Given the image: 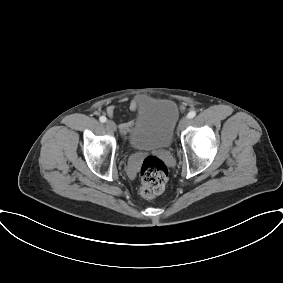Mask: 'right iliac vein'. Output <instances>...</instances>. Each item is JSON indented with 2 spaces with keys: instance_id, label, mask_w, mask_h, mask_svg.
<instances>
[{
  "instance_id": "right-iliac-vein-1",
  "label": "right iliac vein",
  "mask_w": 283,
  "mask_h": 283,
  "mask_svg": "<svg viewBox=\"0 0 283 283\" xmlns=\"http://www.w3.org/2000/svg\"><path fill=\"white\" fill-rule=\"evenodd\" d=\"M106 127L111 131H116V129H117L116 124L111 120H108L106 122Z\"/></svg>"
}]
</instances>
